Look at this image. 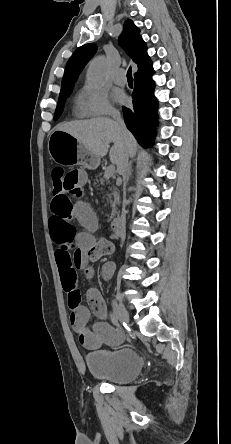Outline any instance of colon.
<instances>
[{
  "label": "colon",
  "instance_id": "1",
  "mask_svg": "<svg viewBox=\"0 0 231 444\" xmlns=\"http://www.w3.org/2000/svg\"><path fill=\"white\" fill-rule=\"evenodd\" d=\"M52 177V197L63 198L68 194V189L65 185L66 173L63 168L55 167L51 173Z\"/></svg>",
  "mask_w": 231,
  "mask_h": 444
}]
</instances>
